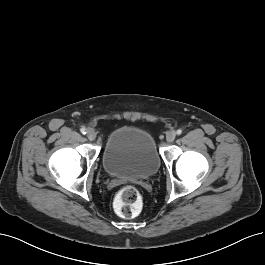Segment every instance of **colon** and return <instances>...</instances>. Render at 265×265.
I'll list each match as a JSON object with an SVG mask.
<instances>
[{
	"mask_svg": "<svg viewBox=\"0 0 265 265\" xmlns=\"http://www.w3.org/2000/svg\"><path fill=\"white\" fill-rule=\"evenodd\" d=\"M114 207L118 214L125 218L136 216L141 207L139 191L130 185L122 187L116 195Z\"/></svg>",
	"mask_w": 265,
	"mask_h": 265,
	"instance_id": "5ec220e1",
	"label": "colon"
}]
</instances>
